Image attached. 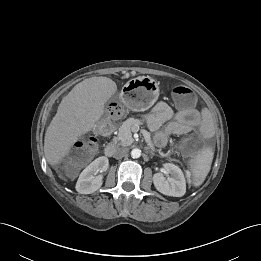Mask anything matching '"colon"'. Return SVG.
Masks as SVG:
<instances>
[{"label":"colon","mask_w":261,"mask_h":261,"mask_svg":"<svg viewBox=\"0 0 261 261\" xmlns=\"http://www.w3.org/2000/svg\"><path fill=\"white\" fill-rule=\"evenodd\" d=\"M173 97L176 103L183 107H191L196 100L194 92L183 85L175 86L172 89ZM112 114L117 117L122 115L120 108L111 109ZM181 147L185 153H191L195 148V143L192 140L181 142ZM96 148V138L89 137L85 139L79 147L74 148L68 158L66 159L65 166L68 170H75L80 164L87 161Z\"/></svg>","instance_id":"obj_1"}]
</instances>
